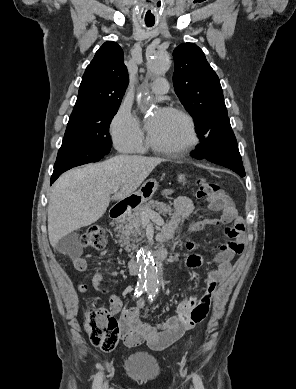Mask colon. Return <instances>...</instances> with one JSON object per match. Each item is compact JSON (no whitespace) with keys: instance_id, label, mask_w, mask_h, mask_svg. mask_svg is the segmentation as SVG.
Here are the masks:
<instances>
[{"instance_id":"obj_1","label":"colon","mask_w":296,"mask_h":389,"mask_svg":"<svg viewBox=\"0 0 296 389\" xmlns=\"http://www.w3.org/2000/svg\"><path fill=\"white\" fill-rule=\"evenodd\" d=\"M185 181V178H182ZM196 197L207 200L209 205L222 203L224 196L220 186L216 183L200 179L197 182ZM80 243L84 247L103 249L106 246L104 230L101 226H90L80 236ZM207 312L196 311L191 319L195 323L201 322ZM85 328L91 343L103 351H111L121 337L120 324L115 317L104 307L89 310L85 316Z\"/></svg>"}]
</instances>
